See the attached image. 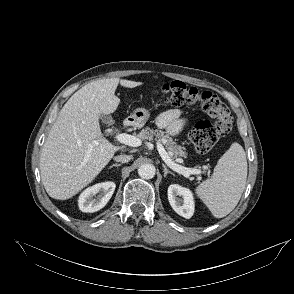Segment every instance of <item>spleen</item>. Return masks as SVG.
<instances>
[{
    "label": "spleen",
    "instance_id": "spleen-1",
    "mask_svg": "<svg viewBox=\"0 0 294 294\" xmlns=\"http://www.w3.org/2000/svg\"><path fill=\"white\" fill-rule=\"evenodd\" d=\"M247 160L242 146L233 143L219 159L210 179L196 193L216 218L228 215L238 204L245 189Z\"/></svg>",
    "mask_w": 294,
    "mask_h": 294
}]
</instances>
